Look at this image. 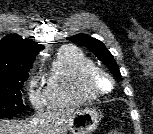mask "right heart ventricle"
<instances>
[{"label": "right heart ventricle", "mask_w": 153, "mask_h": 134, "mask_svg": "<svg viewBox=\"0 0 153 134\" xmlns=\"http://www.w3.org/2000/svg\"><path fill=\"white\" fill-rule=\"evenodd\" d=\"M94 65L80 49L73 46L61 48L46 77L43 90L45 104L57 108L93 101L96 96L86 90L84 75Z\"/></svg>", "instance_id": "obj_1"}]
</instances>
